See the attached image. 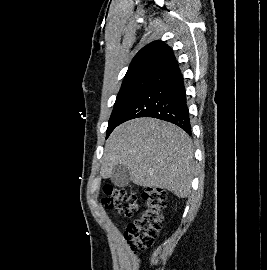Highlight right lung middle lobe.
Masks as SVG:
<instances>
[{
    "label": "right lung middle lobe",
    "instance_id": "dd1d6c3e",
    "mask_svg": "<svg viewBox=\"0 0 267 270\" xmlns=\"http://www.w3.org/2000/svg\"><path fill=\"white\" fill-rule=\"evenodd\" d=\"M154 77L155 75L148 74L123 82L109 119L107 137L116 126L123 123L128 111L146 91Z\"/></svg>",
    "mask_w": 267,
    "mask_h": 270
}]
</instances>
